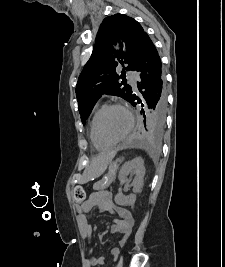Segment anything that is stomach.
Segmentation results:
<instances>
[{
	"label": "stomach",
	"instance_id": "0dacf381",
	"mask_svg": "<svg viewBox=\"0 0 225 267\" xmlns=\"http://www.w3.org/2000/svg\"><path fill=\"white\" fill-rule=\"evenodd\" d=\"M113 154L103 153L100 154L91 165L90 178H96L100 176L107 168V165L111 162Z\"/></svg>",
	"mask_w": 225,
	"mask_h": 267
}]
</instances>
